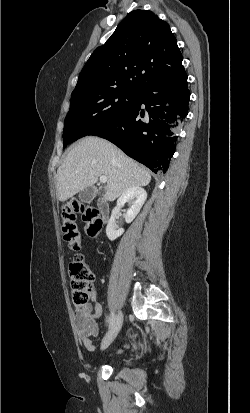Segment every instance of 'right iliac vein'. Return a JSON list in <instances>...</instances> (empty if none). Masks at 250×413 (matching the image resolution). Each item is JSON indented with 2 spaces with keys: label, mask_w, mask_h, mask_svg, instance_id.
Returning a JSON list of instances; mask_svg holds the SVG:
<instances>
[{
  "label": "right iliac vein",
  "mask_w": 250,
  "mask_h": 413,
  "mask_svg": "<svg viewBox=\"0 0 250 413\" xmlns=\"http://www.w3.org/2000/svg\"><path fill=\"white\" fill-rule=\"evenodd\" d=\"M123 323V314L122 312H118L117 315L114 318V321L112 323L111 329L109 332L106 334L104 337L102 344H101V349H106L116 338L118 335Z\"/></svg>",
  "instance_id": "63e3f726"
}]
</instances>
